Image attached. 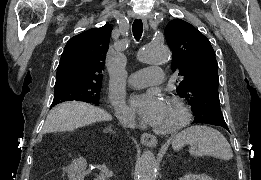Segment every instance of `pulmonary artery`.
<instances>
[{
    "label": "pulmonary artery",
    "instance_id": "obj_1",
    "mask_svg": "<svg viewBox=\"0 0 261 180\" xmlns=\"http://www.w3.org/2000/svg\"><path fill=\"white\" fill-rule=\"evenodd\" d=\"M162 69H141L130 74L127 77V82L134 85L135 88L150 89L149 82H160L162 80Z\"/></svg>",
    "mask_w": 261,
    "mask_h": 180
}]
</instances>
